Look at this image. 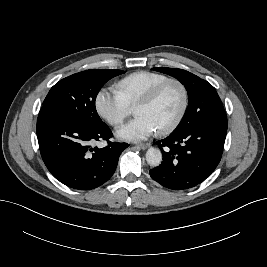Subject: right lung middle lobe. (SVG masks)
Returning <instances> with one entry per match:
<instances>
[{
	"label": "right lung middle lobe",
	"instance_id": "dd1d6c3e",
	"mask_svg": "<svg viewBox=\"0 0 267 267\" xmlns=\"http://www.w3.org/2000/svg\"><path fill=\"white\" fill-rule=\"evenodd\" d=\"M122 70L92 69L68 76L56 83L46 96L43 107L55 109L91 127H101L96 96L101 87Z\"/></svg>",
	"mask_w": 267,
	"mask_h": 267
}]
</instances>
